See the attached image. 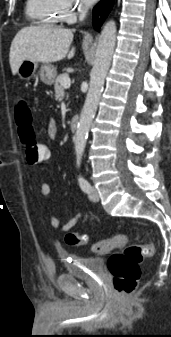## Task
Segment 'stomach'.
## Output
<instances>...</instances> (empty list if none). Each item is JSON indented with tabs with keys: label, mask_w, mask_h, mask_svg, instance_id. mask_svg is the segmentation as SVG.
<instances>
[{
	"label": "stomach",
	"mask_w": 171,
	"mask_h": 337,
	"mask_svg": "<svg viewBox=\"0 0 171 337\" xmlns=\"http://www.w3.org/2000/svg\"><path fill=\"white\" fill-rule=\"evenodd\" d=\"M38 68V62L31 60H24L18 67L17 75L20 79L29 80L34 76ZM40 79L50 85L54 82L57 71L56 68L50 64H42L39 70Z\"/></svg>",
	"instance_id": "1"
}]
</instances>
